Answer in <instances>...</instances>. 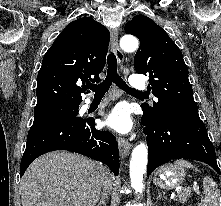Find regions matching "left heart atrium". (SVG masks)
<instances>
[{
    "label": "left heart atrium",
    "instance_id": "obj_1",
    "mask_svg": "<svg viewBox=\"0 0 221 206\" xmlns=\"http://www.w3.org/2000/svg\"><path fill=\"white\" fill-rule=\"evenodd\" d=\"M105 124L116 131L126 132L131 128L132 122L127 109L117 106L107 115Z\"/></svg>",
    "mask_w": 221,
    "mask_h": 206
}]
</instances>
